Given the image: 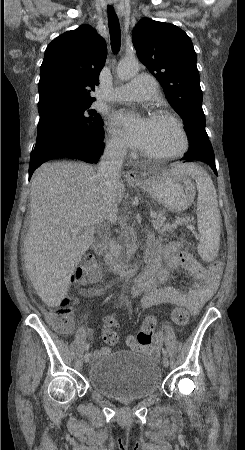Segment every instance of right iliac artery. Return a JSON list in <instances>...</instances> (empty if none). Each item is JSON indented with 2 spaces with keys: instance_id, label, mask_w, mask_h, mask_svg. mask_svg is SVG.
Returning a JSON list of instances; mask_svg holds the SVG:
<instances>
[{
  "instance_id": "right-iliac-artery-1",
  "label": "right iliac artery",
  "mask_w": 245,
  "mask_h": 450,
  "mask_svg": "<svg viewBox=\"0 0 245 450\" xmlns=\"http://www.w3.org/2000/svg\"><path fill=\"white\" fill-rule=\"evenodd\" d=\"M89 347H90V345H89V344H86V345H85V350L88 351V350H89Z\"/></svg>"
}]
</instances>
